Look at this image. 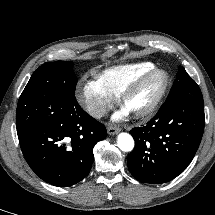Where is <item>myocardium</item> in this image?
Here are the masks:
<instances>
[{"label":"myocardium","instance_id":"f54148a6","mask_svg":"<svg viewBox=\"0 0 215 215\" xmlns=\"http://www.w3.org/2000/svg\"><path fill=\"white\" fill-rule=\"evenodd\" d=\"M160 75L162 77V84L152 99V101L143 109L138 111L129 112L130 115L137 120H144L151 117L159 108L162 101L164 100L169 87L171 85V77L168 71L160 67H153L144 74L140 75L129 83L120 94V101L122 106L125 108L128 100L133 94H135L147 81L152 77Z\"/></svg>","mask_w":215,"mask_h":215}]
</instances>
